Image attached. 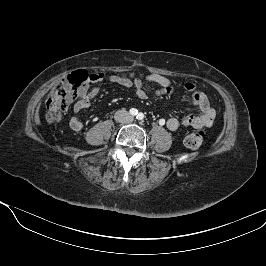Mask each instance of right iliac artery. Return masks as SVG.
Instances as JSON below:
<instances>
[{"label": "right iliac artery", "mask_w": 266, "mask_h": 266, "mask_svg": "<svg viewBox=\"0 0 266 266\" xmlns=\"http://www.w3.org/2000/svg\"><path fill=\"white\" fill-rule=\"evenodd\" d=\"M129 112H130V114H131L132 116H136V115L138 114V110L135 109V108L130 109Z\"/></svg>", "instance_id": "1"}]
</instances>
